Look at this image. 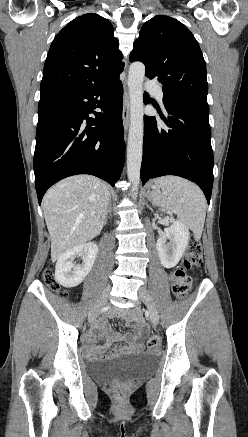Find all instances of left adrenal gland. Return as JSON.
<instances>
[{
    "label": "left adrenal gland",
    "mask_w": 248,
    "mask_h": 437,
    "mask_svg": "<svg viewBox=\"0 0 248 437\" xmlns=\"http://www.w3.org/2000/svg\"><path fill=\"white\" fill-rule=\"evenodd\" d=\"M147 199H148L150 202H152L151 197H150V192H149V191L147 192ZM152 204H153V203H152Z\"/></svg>",
    "instance_id": "left-adrenal-gland-1"
}]
</instances>
